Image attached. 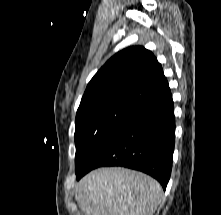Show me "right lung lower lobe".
Wrapping results in <instances>:
<instances>
[{
	"instance_id": "1",
	"label": "right lung lower lobe",
	"mask_w": 221,
	"mask_h": 215,
	"mask_svg": "<svg viewBox=\"0 0 221 215\" xmlns=\"http://www.w3.org/2000/svg\"><path fill=\"white\" fill-rule=\"evenodd\" d=\"M170 89L136 105L103 141L77 179L101 166L142 171L166 189L172 169L175 117Z\"/></svg>"
}]
</instances>
